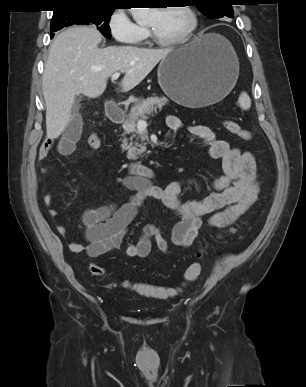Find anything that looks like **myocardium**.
Instances as JSON below:
<instances>
[{
	"label": "myocardium",
	"instance_id": "f54148a6",
	"mask_svg": "<svg viewBox=\"0 0 306 387\" xmlns=\"http://www.w3.org/2000/svg\"><path fill=\"white\" fill-rule=\"evenodd\" d=\"M168 7H180V8H182L188 14V16L190 18L189 27L187 28V30L184 32V34L182 36H180L176 39H172V40H163V39L159 38L150 27H147L149 37L153 43H155L158 46H162V47H172V46H178V45L185 44L192 38V36L194 35V33L196 32V30L198 28V25H199L198 14L192 6L186 5V4H183L182 6H165V7L159 8V9H165Z\"/></svg>",
	"mask_w": 306,
	"mask_h": 387
}]
</instances>
